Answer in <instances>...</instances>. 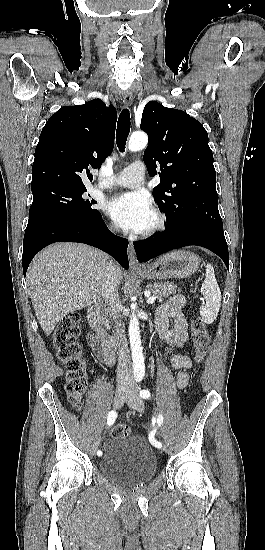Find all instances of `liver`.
Segmentation results:
<instances>
[{
	"mask_svg": "<svg viewBox=\"0 0 265 550\" xmlns=\"http://www.w3.org/2000/svg\"><path fill=\"white\" fill-rule=\"evenodd\" d=\"M110 261L96 248L69 242L52 244L36 255L27 271V285L46 335L69 313L99 301ZM114 265L120 285L122 270Z\"/></svg>",
	"mask_w": 265,
	"mask_h": 550,
	"instance_id": "obj_1",
	"label": "liver"
}]
</instances>
